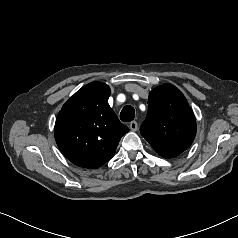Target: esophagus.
I'll return each instance as SVG.
<instances>
[{"instance_id": "esophagus-1", "label": "esophagus", "mask_w": 238, "mask_h": 238, "mask_svg": "<svg viewBox=\"0 0 238 238\" xmlns=\"http://www.w3.org/2000/svg\"><path fill=\"white\" fill-rule=\"evenodd\" d=\"M129 128H130L132 131H136L137 128H138V124H137V122H136V121H132V122H130V124H129Z\"/></svg>"}]
</instances>
